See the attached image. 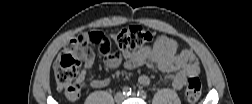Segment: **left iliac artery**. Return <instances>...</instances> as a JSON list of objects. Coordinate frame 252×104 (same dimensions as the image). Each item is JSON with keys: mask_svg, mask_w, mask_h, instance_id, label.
<instances>
[{"mask_svg": "<svg viewBox=\"0 0 252 104\" xmlns=\"http://www.w3.org/2000/svg\"><path fill=\"white\" fill-rule=\"evenodd\" d=\"M137 96H139V97L142 98V99H145V98L147 97V94H146L145 91L139 90V91L137 92Z\"/></svg>", "mask_w": 252, "mask_h": 104, "instance_id": "obj_1", "label": "left iliac artery"}]
</instances>
